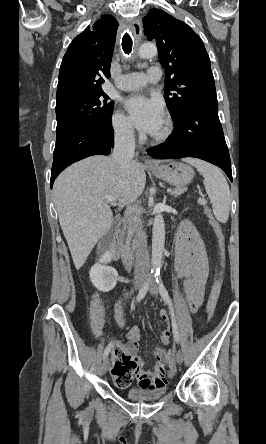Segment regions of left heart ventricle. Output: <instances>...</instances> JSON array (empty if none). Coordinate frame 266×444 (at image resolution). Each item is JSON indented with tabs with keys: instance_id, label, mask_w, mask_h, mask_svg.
<instances>
[{
	"instance_id": "obj_1",
	"label": "left heart ventricle",
	"mask_w": 266,
	"mask_h": 444,
	"mask_svg": "<svg viewBox=\"0 0 266 444\" xmlns=\"http://www.w3.org/2000/svg\"><path fill=\"white\" fill-rule=\"evenodd\" d=\"M162 129H163V127L156 134L160 133Z\"/></svg>"
}]
</instances>
